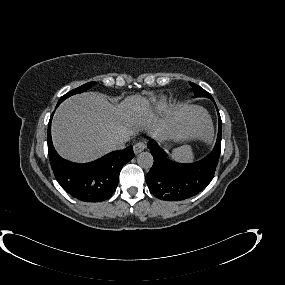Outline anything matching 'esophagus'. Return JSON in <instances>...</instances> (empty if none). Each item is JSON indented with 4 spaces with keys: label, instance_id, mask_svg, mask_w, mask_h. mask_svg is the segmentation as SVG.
Instances as JSON below:
<instances>
[{
    "label": "esophagus",
    "instance_id": "34e87169",
    "mask_svg": "<svg viewBox=\"0 0 285 285\" xmlns=\"http://www.w3.org/2000/svg\"><path fill=\"white\" fill-rule=\"evenodd\" d=\"M145 148H146V143L144 141H139L134 145L133 150L135 154H138L142 152Z\"/></svg>",
    "mask_w": 285,
    "mask_h": 285
}]
</instances>
